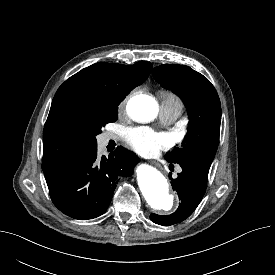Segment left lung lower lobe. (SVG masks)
I'll list each match as a JSON object with an SVG mask.
<instances>
[{"label":"left lung lower lobe","mask_w":275,"mask_h":275,"mask_svg":"<svg viewBox=\"0 0 275 275\" xmlns=\"http://www.w3.org/2000/svg\"><path fill=\"white\" fill-rule=\"evenodd\" d=\"M182 172L176 179H171L172 188L177 192L180 204L171 215L151 214L150 219L156 224L169 226L188 218L203 198L207 188V176L210 166L200 162L179 164Z\"/></svg>","instance_id":"obj_1"}]
</instances>
